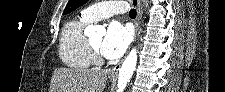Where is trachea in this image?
Instances as JSON below:
<instances>
[{"label":"trachea","instance_id":"1","mask_svg":"<svg viewBox=\"0 0 225 92\" xmlns=\"http://www.w3.org/2000/svg\"><path fill=\"white\" fill-rule=\"evenodd\" d=\"M136 10L135 9H131L130 11H129V16L131 17V18H135L136 17Z\"/></svg>","mask_w":225,"mask_h":92}]
</instances>
